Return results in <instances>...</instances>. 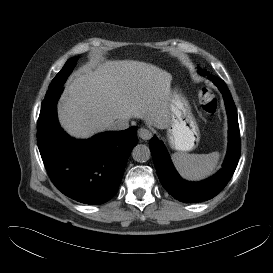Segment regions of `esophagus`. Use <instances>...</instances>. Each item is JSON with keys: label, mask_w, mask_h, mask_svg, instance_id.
<instances>
[{"label": "esophagus", "mask_w": 273, "mask_h": 273, "mask_svg": "<svg viewBox=\"0 0 273 273\" xmlns=\"http://www.w3.org/2000/svg\"><path fill=\"white\" fill-rule=\"evenodd\" d=\"M138 136L142 140H149L152 137V132L147 128H140L138 130Z\"/></svg>", "instance_id": "1"}]
</instances>
